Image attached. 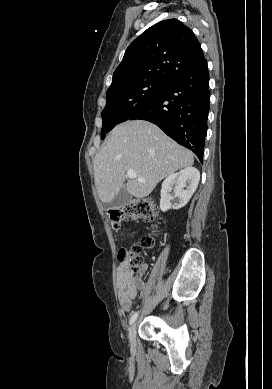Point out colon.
I'll return each mask as SVG.
<instances>
[{"label":"colon","instance_id":"colon-1","mask_svg":"<svg viewBox=\"0 0 272 389\" xmlns=\"http://www.w3.org/2000/svg\"><path fill=\"white\" fill-rule=\"evenodd\" d=\"M156 214L154 203L145 200H133L121 209H114L108 212V220L111 226L118 229L125 218L145 219L152 221ZM152 235L144 236L139 243L131 245L119 252V259L125 261L130 269L137 271L142 266L143 253L154 246Z\"/></svg>","mask_w":272,"mask_h":389}]
</instances>
